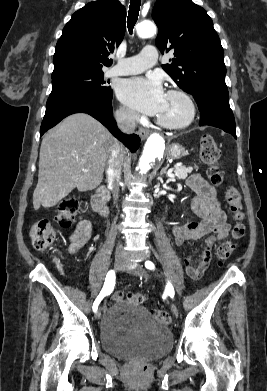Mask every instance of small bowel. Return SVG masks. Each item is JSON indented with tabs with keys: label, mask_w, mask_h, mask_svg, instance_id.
Returning a JSON list of instances; mask_svg holds the SVG:
<instances>
[{
	"label": "small bowel",
	"mask_w": 267,
	"mask_h": 391,
	"mask_svg": "<svg viewBox=\"0 0 267 391\" xmlns=\"http://www.w3.org/2000/svg\"><path fill=\"white\" fill-rule=\"evenodd\" d=\"M188 185L195 193L190 202L192 211L201 218L184 226H175L172 230L174 245L182 246L188 241L204 239L205 247L197 260L186 257V271L191 279L198 280L208 267L212 248L216 242L229 235L231 226L217 199L214 187L200 175L194 174L188 179ZM92 235V224L83 220L78 223L68 239L67 249L75 255L88 243Z\"/></svg>",
	"instance_id": "1"
}]
</instances>
